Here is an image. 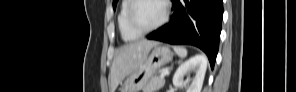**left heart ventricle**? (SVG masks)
<instances>
[{"instance_id":"b2bd125f","label":"left heart ventricle","mask_w":296,"mask_h":92,"mask_svg":"<svg viewBox=\"0 0 296 92\" xmlns=\"http://www.w3.org/2000/svg\"><path fill=\"white\" fill-rule=\"evenodd\" d=\"M163 8L158 1H142L134 12L136 24L141 28H150L162 17Z\"/></svg>"}]
</instances>
